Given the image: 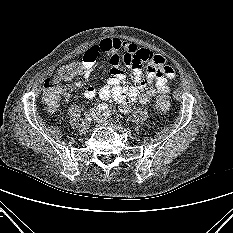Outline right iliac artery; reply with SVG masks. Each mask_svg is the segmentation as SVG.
<instances>
[{"instance_id": "obj_1", "label": "right iliac artery", "mask_w": 233, "mask_h": 233, "mask_svg": "<svg viewBox=\"0 0 233 233\" xmlns=\"http://www.w3.org/2000/svg\"><path fill=\"white\" fill-rule=\"evenodd\" d=\"M96 109L98 111H107L108 105L107 104H99Z\"/></svg>"}]
</instances>
